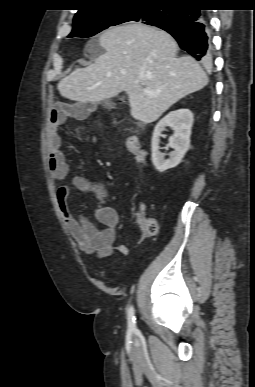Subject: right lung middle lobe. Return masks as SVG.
<instances>
[{
  "label": "right lung middle lobe",
  "instance_id": "right-lung-middle-lobe-1",
  "mask_svg": "<svg viewBox=\"0 0 255 387\" xmlns=\"http://www.w3.org/2000/svg\"><path fill=\"white\" fill-rule=\"evenodd\" d=\"M160 6H122L75 20L68 37H91L104 29L121 23L136 21L152 26L169 23L176 17V9L160 10Z\"/></svg>",
  "mask_w": 255,
  "mask_h": 387
}]
</instances>
